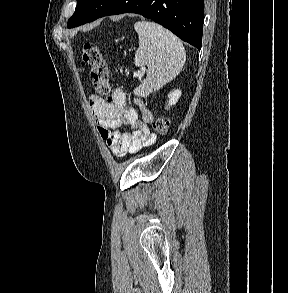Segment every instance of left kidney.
I'll return each instance as SVG.
<instances>
[{
  "mask_svg": "<svg viewBox=\"0 0 288 293\" xmlns=\"http://www.w3.org/2000/svg\"><path fill=\"white\" fill-rule=\"evenodd\" d=\"M180 96H181V90L176 89L171 91L168 94L169 101L166 108L168 109V107L175 105L178 102V99L180 98Z\"/></svg>",
  "mask_w": 288,
  "mask_h": 293,
  "instance_id": "obj_1",
  "label": "left kidney"
}]
</instances>
